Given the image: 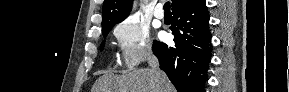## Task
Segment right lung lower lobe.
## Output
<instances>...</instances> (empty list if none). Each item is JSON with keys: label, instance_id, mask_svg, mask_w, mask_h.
<instances>
[{"label": "right lung lower lobe", "instance_id": "98d812e1", "mask_svg": "<svg viewBox=\"0 0 289 92\" xmlns=\"http://www.w3.org/2000/svg\"><path fill=\"white\" fill-rule=\"evenodd\" d=\"M175 47L154 41L152 50L160 68L178 92H204L210 62L211 33L205 0L172 12Z\"/></svg>", "mask_w": 289, "mask_h": 92}]
</instances>
